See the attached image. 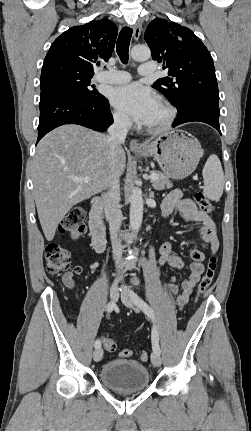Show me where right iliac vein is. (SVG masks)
<instances>
[{
  "instance_id": "63e3f726",
  "label": "right iliac vein",
  "mask_w": 251,
  "mask_h": 431,
  "mask_svg": "<svg viewBox=\"0 0 251 431\" xmlns=\"http://www.w3.org/2000/svg\"><path fill=\"white\" fill-rule=\"evenodd\" d=\"M119 297L118 287L116 284L112 285L110 289V298L112 302H116ZM103 357V350L102 348H97L93 353L94 361L99 362Z\"/></svg>"
}]
</instances>
